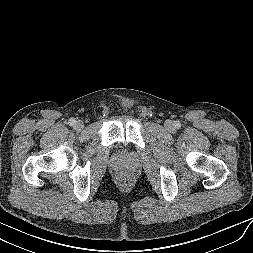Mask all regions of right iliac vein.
<instances>
[{
  "label": "right iliac vein",
  "mask_w": 253,
  "mask_h": 253,
  "mask_svg": "<svg viewBox=\"0 0 253 253\" xmlns=\"http://www.w3.org/2000/svg\"><path fill=\"white\" fill-rule=\"evenodd\" d=\"M83 127H84V124H83L82 121L79 120V121L76 122L75 128H76L77 130H81Z\"/></svg>",
  "instance_id": "1"
}]
</instances>
